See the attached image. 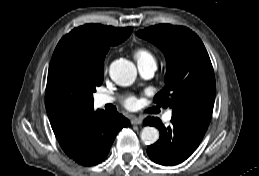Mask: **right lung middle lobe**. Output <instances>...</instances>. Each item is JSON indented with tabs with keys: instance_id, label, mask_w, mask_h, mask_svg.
I'll return each instance as SVG.
<instances>
[{
	"instance_id": "1",
	"label": "right lung middle lobe",
	"mask_w": 259,
	"mask_h": 176,
	"mask_svg": "<svg viewBox=\"0 0 259 176\" xmlns=\"http://www.w3.org/2000/svg\"><path fill=\"white\" fill-rule=\"evenodd\" d=\"M106 55V52L104 53L102 59H104ZM75 58L77 59L79 64H83L84 61V53L82 49L77 48L75 51ZM83 76L84 80L90 89L91 92L96 91V87L100 86L103 82V63H101L99 66L96 67H91V66H86L83 69Z\"/></svg>"
}]
</instances>
